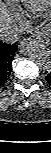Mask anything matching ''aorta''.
<instances>
[{"label": "aorta", "mask_w": 51, "mask_h": 153, "mask_svg": "<svg viewBox=\"0 0 51 153\" xmlns=\"http://www.w3.org/2000/svg\"><path fill=\"white\" fill-rule=\"evenodd\" d=\"M20 50L33 58L41 67L46 70L50 68L51 65V53L48 47L33 39H25L19 45Z\"/></svg>", "instance_id": "1"}]
</instances>
